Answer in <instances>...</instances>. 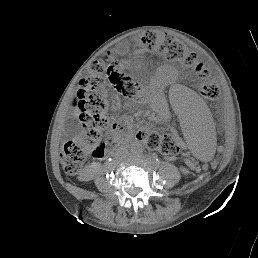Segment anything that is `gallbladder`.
Returning <instances> with one entry per match:
<instances>
[{
    "mask_svg": "<svg viewBox=\"0 0 258 258\" xmlns=\"http://www.w3.org/2000/svg\"><path fill=\"white\" fill-rule=\"evenodd\" d=\"M65 133L69 138L78 137L82 134L83 129L78 119H68L64 124Z\"/></svg>",
    "mask_w": 258,
    "mask_h": 258,
    "instance_id": "obj_1",
    "label": "gallbladder"
}]
</instances>
